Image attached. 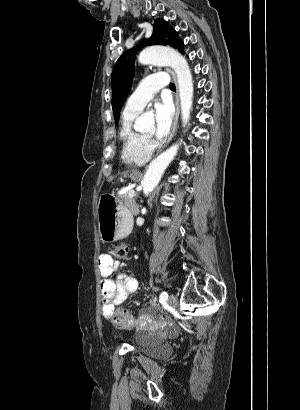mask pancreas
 Segmentation results:
<instances>
[{"label":"pancreas","instance_id":"cf45deb5","mask_svg":"<svg viewBox=\"0 0 300 410\" xmlns=\"http://www.w3.org/2000/svg\"><path fill=\"white\" fill-rule=\"evenodd\" d=\"M129 191L120 195L121 200L124 202L125 206L128 207L132 214L137 215L139 213L138 206L133 197L128 195Z\"/></svg>","mask_w":300,"mask_h":410}]
</instances>
